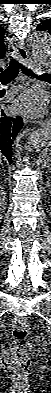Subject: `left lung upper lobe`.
Returning <instances> with one entry per match:
<instances>
[{"instance_id": "obj_1", "label": "left lung upper lobe", "mask_w": 51, "mask_h": 393, "mask_svg": "<svg viewBox=\"0 0 51 393\" xmlns=\"http://www.w3.org/2000/svg\"><path fill=\"white\" fill-rule=\"evenodd\" d=\"M37 31H46L51 34V19L41 22L37 28Z\"/></svg>"}]
</instances>
